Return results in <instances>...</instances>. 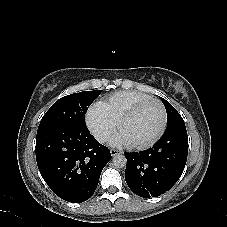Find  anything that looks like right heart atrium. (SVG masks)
I'll list each match as a JSON object with an SVG mask.
<instances>
[{"instance_id": "right-heart-atrium-1", "label": "right heart atrium", "mask_w": 227, "mask_h": 227, "mask_svg": "<svg viewBox=\"0 0 227 227\" xmlns=\"http://www.w3.org/2000/svg\"><path fill=\"white\" fill-rule=\"evenodd\" d=\"M85 125L99 143L109 141L116 129V124L104 113L98 103L86 112Z\"/></svg>"}]
</instances>
